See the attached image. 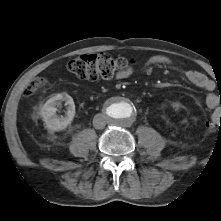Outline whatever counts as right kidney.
I'll return each mask as SVG.
<instances>
[{
	"label": "right kidney",
	"instance_id": "obj_1",
	"mask_svg": "<svg viewBox=\"0 0 221 221\" xmlns=\"http://www.w3.org/2000/svg\"><path fill=\"white\" fill-rule=\"evenodd\" d=\"M61 101L66 102L67 112L65 116L56 114L57 106ZM40 115L46 127L52 131H61L66 129L75 116V104L73 98L67 93L56 94L46 101L40 111Z\"/></svg>",
	"mask_w": 221,
	"mask_h": 221
}]
</instances>
